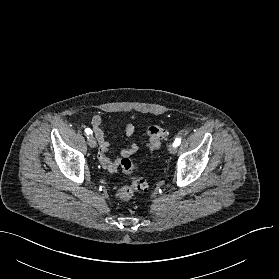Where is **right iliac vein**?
Segmentation results:
<instances>
[{
  "instance_id": "right-iliac-vein-1",
  "label": "right iliac vein",
  "mask_w": 279,
  "mask_h": 279,
  "mask_svg": "<svg viewBox=\"0 0 279 279\" xmlns=\"http://www.w3.org/2000/svg\"><path fill=\"white\" fill-rule=\"evenodd\" d=\"M87 141H88V145H89L91 148H95V147H96L97 142H96V139H95V137H94L93 135L88 136Z\"/></svg>"
}]
</instances>
